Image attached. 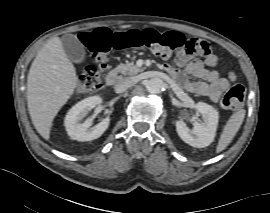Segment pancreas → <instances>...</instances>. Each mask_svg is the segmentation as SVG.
<instances>
[{"label":"pancreas","instance_id":"cf45deb5","mask_svg":"<svg viewBox=\"0 0 270 213\" xmlns=\"http://www.w3.org/2000/svg\"><path fill=\"white\" fill-rule=\"evenodd\" d=\"M116 70L121 72L123 75L133 76L142 72L143 69L137 67L134 62H126V64H120L116 67Z\"/></svg>","mask_w":270,"mask_h":213}]
</instances>
